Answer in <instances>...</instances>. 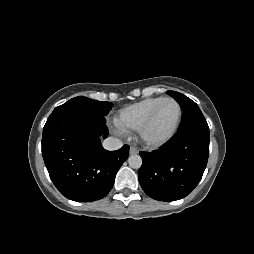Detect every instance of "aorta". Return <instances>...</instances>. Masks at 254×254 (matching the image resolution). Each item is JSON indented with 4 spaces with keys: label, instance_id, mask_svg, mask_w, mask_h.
<instances>
[{
    "label": "aorta",
    "instance_id": "762f6f07",
    "mask_svg": "<svg viewBox=\"0 0 254 254\" xmlns=\"http://www.w3.org/2000/svg\"><path fill=\"white\" fill-rule=\"evenodd\" d=\"M128 163L131 168L139 169L142 166V158L139 155H131Z\"/></svg>",
    "mask_w": 254,
    "mask_h": 254
}]
</instances>
